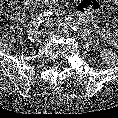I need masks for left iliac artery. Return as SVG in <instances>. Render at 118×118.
<instances>
[{"label":"left iliac artery","mask_w":118,"mask_h":118,"mask_svg":"<svg viewBox=\"0 0 118 118\" xmlns=\"http://www.w3.org/2000/svg\"><path fill=\"white\" fill-rule=\"evenodd\" d=\"M65 22L71 27L73 30L77 31L78 25L75 19L70 16L65 17Z\"/></svg>","instance_id":"44dca946"}]
</instances>
